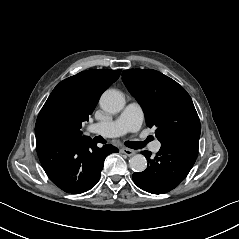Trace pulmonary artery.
I'll return each mask as SVG.
<instances>
[{
    "instance_id": "pulmonary-artery-1",
    "label": "pulmonary artery",
    "mask_w": 239,
    "mask_h": 239,
    "mask_svg": "<svg viewBox=\"0 0 239 239\" xmlns=\"http://www.w3.org/2000/svg\"><path fill=\"white\" fill-rule=\"evenodd\" d=\"M143 119L141 106L133 101L129 103L123 112L115 120L109 122H96L88 126L90 132H95L97 128H106L115 133V136H121L127 132H135L140 128ZM161 148V143L155 141L152 145V150L158 152Z\"/></svg>"
}]
</instances>
